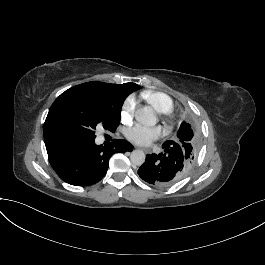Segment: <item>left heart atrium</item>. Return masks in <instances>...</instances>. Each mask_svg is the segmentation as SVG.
Instances as JSON below:
<instances>
[{
  "label": "left heart atrium",
  "mask_w": 265,
  "mask_h": 265,
  "mask_svg": "<svg viewBox=\"0 0 265 265\" xmlns=\"http://www.w3.org/2000/svg\"><path fill=\"white\" fill-rule=\"evenodd\" d=\"M163 134L161 127H152L151 125L135 124L126 132V137L138 144H149L158 139Z\"/></svg>",
  "instance_id": "left-heart-atrium-1"
}]
</instances>
